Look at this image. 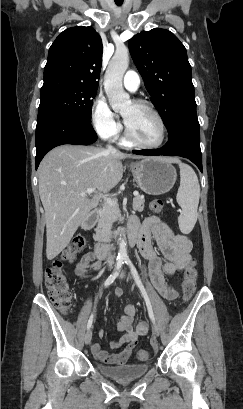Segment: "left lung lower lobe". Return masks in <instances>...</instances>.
<instances>
[{
  "label": "left lung lower lobe",
  "instance_id": "obj_1",
  "mask_svg": "<svg viewBox=\"0 0 243 409\" xmlns=\"http://www.w3.org/2000/svg\"><path fill=\"white\" fill-rule=\"evenodd\" d=\"M168 141L159 149L136 150L139 155L181 156L188 158L202 172V156L200 149V125L196 109L181 114L168 130Z\"/></svg>",
  "mask_w": 243,
  "mask_h": 409
}]
</instances>
